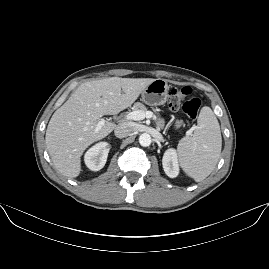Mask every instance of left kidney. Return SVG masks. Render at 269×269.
I'll list each match as a JSON object with an SVG mask.
<instances>
[{
	"label": "left kidney",
	"mask_w": 269,
	"mask_h": 269,
	"mask_svg": "<svg viewBox=\"0 0 269 269\" xmlns=\"http://www.w3.org/2000/svg\"><path fill=\"white\" fill-rule=\"evenodd\" d=\"M163 168L165 173L174 178L178 174V166H177V159L176 153L173 149L166 151L163 157Z\"/></svg>",
	"instance_id": "left-kidney-1"
}]
</instances>
